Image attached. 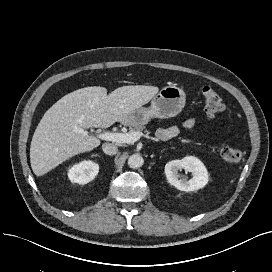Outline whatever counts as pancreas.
<instances>
[{
	"mask_svg": "<svg viewBox=\"0 0 272 272\" xmlns=\"http://www.w3.org/2000/svg\"><path fill=\"white\" fill-rule=\"evenodd\" d=\"M143 130H145L144 125H135L134 127L129 128V132H142Z\"/></svg>",
	"mask_w": 272,
	"mask_h": 272,
	"instance_id": "obj_1",
	"label": "pancreas"
}]
</instances>
